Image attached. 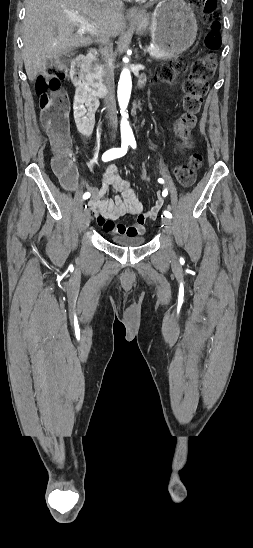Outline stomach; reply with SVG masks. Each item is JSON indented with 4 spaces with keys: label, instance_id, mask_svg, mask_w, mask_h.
I'll use <instances>...</instances> for the list:
<instances>
[{
    "label": "stomach",
    "instance_id": "stomach-1",
    "mask_svg": "<svg viewBox=\"0 0 253 548\" xmlns=\"http://www.w3.org/2000/svg\"><path fill=\"white\" fill-rule=\"evenodd\" d=\"M132 21L139 34L149 33L155 46L174 55L186 51L197 34L194 13L184 0H163L152 14Z\"/></svg>",
    "mask_w": 253,
    "mask_h": 548
}]
</instances>
